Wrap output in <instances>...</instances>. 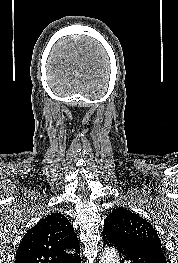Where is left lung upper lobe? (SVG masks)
I'll return each instance as SVG.
<instances>
[{
	"instance_id": "obj_1",
	"label": "left lung upper lobe",
	"mask_w": 178,
	"mask_h": 263,
	"mask_svg": "<svg viewBox=\"0 0 178 263\" xmlns=\"http://www.w3.org/2000/svg\"><path fill=\"white\" fill-rule=\"evenodd\" d=\"M104 226H110L127 237L162 249L161 240L152 225L125 208L119 207L112 210L106 217Z\"/></svg>"
}]
</instances>
